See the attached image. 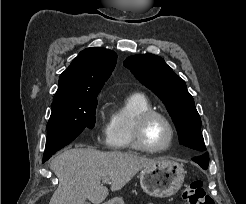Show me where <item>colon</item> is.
Segmentation results:
<instances>
[{
	"mask_svg": "<svg viewBox=\"0 0 246 204\" xmlns=\"http://www.w3.org/2000/svg\"><path fill=\"white\" fill-rule=\"evenodd\" d=\"M182 198L187 204H216L209 196L201 180L192 181L182 192Z\"/></svg>",
	"mask_w": 246,
	"mask_h": 204,
	"instance_id": "1",
	"label": "colon"
}]
</instances>
